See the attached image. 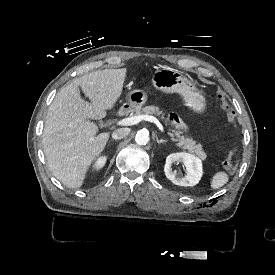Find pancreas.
Masks as SVG:
<instances>
[{
    "mask_svg": "<svg viewBox=\"0 0 275 275\" xmlns=\"http://www.w3.org/2000/svg\"><path fill=\"white\" fill-rule=\"evenodd\" d=\"M118 114L120 116L125 115L123 111L119 110ZM156 114L157 116H160L162 111L159 110L157 106H145L142 109H137L134 113V115H151ZM162 118H164V114L162 115ZM168 134L172 137V140L177 142V146L188 150L191 154H194L198 156L201 160L206 159V153L202 149L201 144H197L196 141H194L192 138L185 137L182 131L170 129Z\"/></svg>",
    "mask_w": 275,
    "mask_h": 275,
    "instance_id": "obj_1",
    "label": "pancreas"
}]
</instances>
